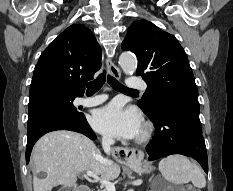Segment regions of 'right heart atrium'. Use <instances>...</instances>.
I'll return each instance as SVG.
<instances>
[{"mask_svg":"<svg viewBox=\"0 0 233 191\" xmlns=\"http://www.w3.org/2000/svg\"><path fill=\"white\" fill-rule=\"evenodd\" d=\"M103 141H104V143H107V142H108V140H107L106 138H104V140H103Z\"/></svg>","mask_w":233,"mask_h":191,"instance_id":"d8ad5b80","label":"right heart atrium"}]
</instances>
